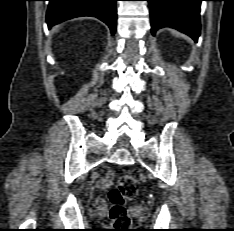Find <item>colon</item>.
Segmentation results:
<instances>
[{"label": "colon", "mask_w": 234, "mask_h": 231, "mask_svg": "<svg viewBox=\"0 0 234 231\" xmlns=\"http://www.w3.org/2000/svg\"><path fill=\"white\" fill-rule=\"evenodd\" d=\"M138 195L135 179L128 174L122 175L116 185L109 191V217L117 231H128L131 218L126 203L134 200Z\"/></svg>", "instance_id": "colon-1"}]
</instances>
